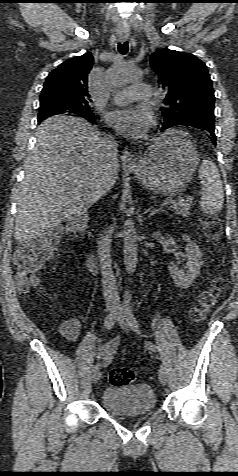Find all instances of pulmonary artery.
I'll return each mask as SVG.
<instances>
[{
	"mask_svg": "<svg viewBox=\"0 0 238 476\" xmlns=\"http://www.w3.org/2000/svg\"><path fill=\"white\" fill-rule=\"evenodd\" d=\"M152 96L150 85L135 82L128 88L116 91L112 96V101L118 105H124L134 100H148Z\"/></svg>",
	"mask_w": 238,
	"mask_h": 476,
	"instance_id": "1",
	"label": "pulmonary artery"
}]
</instances>
